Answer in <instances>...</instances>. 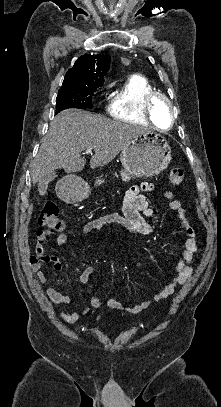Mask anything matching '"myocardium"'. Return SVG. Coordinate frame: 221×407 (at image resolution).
I'll return each instance as SVG.
<instances>
[{"mask_svg": "<svg viewBox=\"0 0 221 407\" xmlns=\"http://www.w3.org/2000/svg\"><path fill=\"white\" fill-rule=\"evenodd\" d=\"M158 101H163L167 104V106L170 109V113H171V119H170V124L168 126V128L166 130H161L159 129L154 121V116H153V106L155 105L156 102ZM143 111L145 113V116L147 118V120L159 131H167L169 129L172 128V126L174 125L175 122V113H174V107H173V103L170 100V98L168 96H166L163 93L160 92H154L152 94H150L149 96H147V98L144 101V105H143Z\"/></svg>", "mask_w": 221, "mask_h": 407, "instance_id": "1", "label": "myocardium"}]
</instances>
